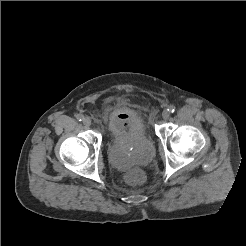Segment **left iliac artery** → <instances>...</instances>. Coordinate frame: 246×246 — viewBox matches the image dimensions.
I'll return each mask as SVG.
<instances>
[{
  "label": "left iliac artery",
  "instance_id": "obj_1",
  "mask_svg": "<svg viewBox=\"0 0 246 246\" xmlns=\"http://www.w3.org/2000/svg\"><path fill=\"white\" fill-rule=\"evenodd\" d=\"M170 113H173L175 111V106L170 105L167 109Z\"/></svg>",
  "mask_w": 246,
  "mask_h": 246
}]
</instances>
